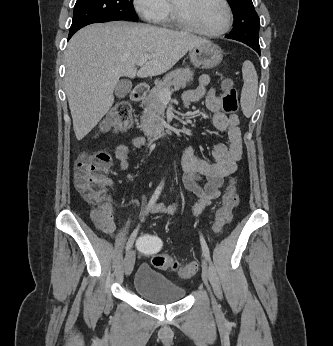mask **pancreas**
Listing matches in <instances>:
<instances>
[{
    "mask_svg": "<svg viewBox=\"0 0 333 346\" xmlns=\"http://www.w3.org/2000/svg\"><path fill=\"white\" fill-rule=\"evenodd\" d=\"M193 81V72L188 68L175 69L157 81L150 90L149 95L142 101L144 111L141 116V128L146 134L158 133L163 130L165 123L161 121V99L159 93L169 90L185 88Z\"/></svg>",
    "mask_w": 333,
    "mask_h": 346,
    "instance_id": "1",
    "label": "pancreas"
}]
</instances>
